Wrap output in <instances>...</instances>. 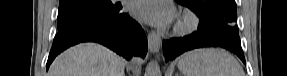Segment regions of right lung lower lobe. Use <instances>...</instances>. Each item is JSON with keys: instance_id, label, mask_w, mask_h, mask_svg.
Returning <instances> with one entry per match:
<instances>
[{"instance_id": "1", "label": "right lung lower lobe", "mask_w": 287, "mask_h": 76, "mask_svg": "<svg viewBox=\"0 0 287 76\" xmlns=\"http://www.w3.org/2000/svg\"><path fill=\"white\" fill-rule=\"evenodd\" d=\"M86 41L101 43L127 60L132 57L144 58L148 50L144 30L128 14L119 11L110 17L81 22L59 31L53 41L47 69L59 53Z\"/></svg>"}]
</instances>
